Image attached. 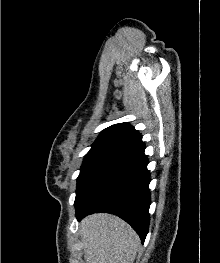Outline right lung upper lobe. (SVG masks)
<instances>
[{
    "mask_svg": "<svg viewBox=\"0 0 220 263\" xmlns=\"http://www.w3.org/2000/svg\"><path fill=\"white\" fill-rule=\"evenodd\" d=\"M142 142V138L128 123L112 125L104 129L89 152L119 153Z\"/></svg>",
    "mask_w": 220,
    "mask_h": 263,
    "instance_id": "right-lung-upper-lobe-1",
    "label": "right lung upper lobe"
}]
</instances>
